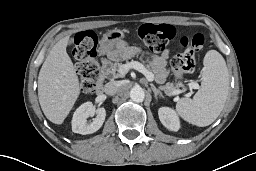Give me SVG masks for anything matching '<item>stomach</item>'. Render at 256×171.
Here are the masks:
<instances>
[{"mask_svg":"<svg viewBox=\"0 0 256 171\" xmlns=\"http://www.w3.org/2000/svg\"><path fill=\"white\" fill-rule=\"evenodd\" d=\"M124 36V31L117 28L107 31L100 41L101 53L106 54L109 58L114 60L122 58L121 52L119 50H115V47L118 42L124 38Z\"/></svg>","mask_w":256,"mask_h":171,"instance_id":"stomach-1","label":"stomach"}]
</instances>
